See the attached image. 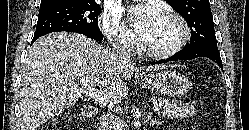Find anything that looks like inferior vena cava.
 I'll list each match as a JSON object with an SVG mask.
<instances>
[{
    "label": "inferior vena cava",
    "mask_w": 249,
    "mask_h": 130,
    "mask_svg": "<svg viewBox=\"0 0 249 130\" xmlns=\"http://www.w3.org/2000/svg\"><path fill=\"white\" fill-rule=\"evenodd\" d=\"M113 54L116 57L117 61L122 64H128L131 62L130 54L127 50L120 45L118 42L113 45ZM102 130H118L121 121L117 116H114L110 113L102 115Z\"/></svg>",
    "instance_id": "602c4592"
}]
</instances>
